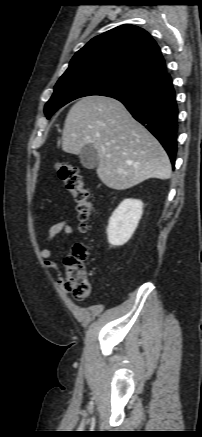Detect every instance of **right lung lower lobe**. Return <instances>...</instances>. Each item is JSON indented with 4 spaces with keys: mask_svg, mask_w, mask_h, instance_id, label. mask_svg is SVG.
<instances>
[{
    "mask_svg": "<svg viewBox=\"0 0 202 437\" xmlns=\"http://www.w3.org/2000/svg\"><path fill=\"white\" fill-rule=\"evenodd\" d=\"M113 98L122 102L132 116L160 141L174 166L178 108L170 75L164 73L135 94Z\"/></svg>",
    "mask_w": 202,
    "mask_h": 437,
    "instance_id": "98d812e1",
    "label": "right lung lower lobe"
}]
</instances>
